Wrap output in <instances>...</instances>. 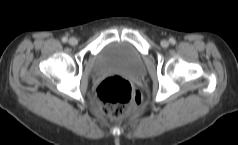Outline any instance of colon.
Masks as SVG:
<instances>
[{
	"label": "colon",
	"instance_id": "1",
	"mask_svg": "<svg viewBox=\"0 0 238 145\" xmlns=\"http://www.w3.org/2000/svg\"><path fill=\"white\" fill-rule=\"evenodd\" d=\"M96 99L102 112L115 118L135 113L142 102L139 90L118 75L110 76L99 84Z\"/></svg>",
	"mask_w": 238,
	"mask_h": 145
}]
</instances>
